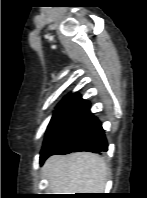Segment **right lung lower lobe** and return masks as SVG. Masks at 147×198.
Masks as SVG:
<instances>
[{"label": "right lung lower lobe", "mask_w": 147, "mask_h": 198, "mask_svg": "<svg viewBox=\"0 0 147 198\" xmlns=\"http://www.w3.org/2000/svg\"><path fill=\"white\" fill-rule=\"evenodd\" d=\"M89 108L90 103L83 101L70 112L60 127L44 142L41 163L53 154L107 151L104 130Z\"/></svg>", "instance_id": "right-lung-lower-lobe-1"}]
</instances>
